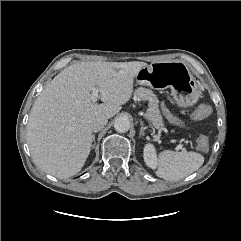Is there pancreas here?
<instances>
[{"instance_id":"cf45deb5","label":"pancreas","mask_w":241,"mask_h":241,"mask_svg":"<svg viewBox=\"0 0 241 241\" xmlns=\"http://www.w3.org/2000/svg\"><path fill=\"white\" fill-rule=\"evenodd\" d=\"M134 96L137 100H148V109L144 115V117L150 121L153 126L158 129H163V118L160 114V110L158 108L159 100L157 96L149 89L140 87L135 90Z\"/></svg>"}]
</instances>
